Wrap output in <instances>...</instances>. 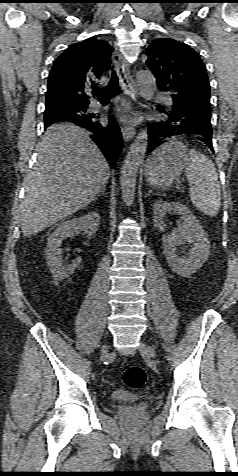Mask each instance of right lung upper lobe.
I'll list each match as a JSON object with an SVG mask.
<instances>
[{
  "mask_svg": "<svg viewBox=\"0 0 238 476\" xmlns=\"http://www.w3.org/2000/svg\"><path fill=\"white\" fill-rule=\"evenodd\" d=\"M113 48L105 41L88 38L69 46L51 69L46 104L88 106L86 92L110 68Z\"/></svg>",
  "mask_w": 238,
  "mask_h": 476,
  "instance_id": "cb5924a9",
  "label": "right lung upper lobe"
}]
</instances>
